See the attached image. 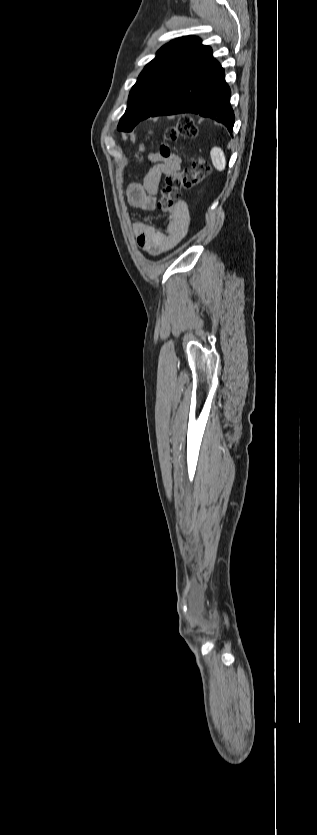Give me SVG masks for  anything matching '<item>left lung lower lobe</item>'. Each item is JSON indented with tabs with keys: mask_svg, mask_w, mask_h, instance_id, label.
I'll use <instances>...</instances> for the list:
<instances>
[{
	"mask_svg": "<svg viewBox=\"0 0 317 835\" xmlns=\"http://www.w3.org/2000/svg\"><path fill=\"white\" fill-rule=\"evenodd\" d=\"M224 70L207 47L184 71L167 99L151 115L193 113L211 118L232 133L234 112Z\"/></svg>",
	"mask_w": 317,
	"mask_h": 835,
	"instance_id": "obj_1",
	"label": "left lung lower lobe"
}]
</instances>
